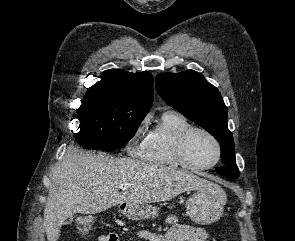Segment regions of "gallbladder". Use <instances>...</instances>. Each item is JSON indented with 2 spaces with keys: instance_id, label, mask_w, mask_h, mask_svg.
Returning a JSON list of instances; mask_svg holds the SVG:
<instances>
[{
  "instance_id": "gallbladder-1",
  "label": "gallbladder",
  "mask_w": 295,
  "mask_h": 241,
  "mask_svg": "<svg viewBox=\"0 0 295 241\" xmlns=\"http://www.w3.org/2000/svg\"><path fill=\"white\" fill-rule=\"evenodd\" d=\"M73 220H74L73 216L67 217L64 221V224L65 225L71 224L73 222Z\"/></svg>"
}]
</instances>
